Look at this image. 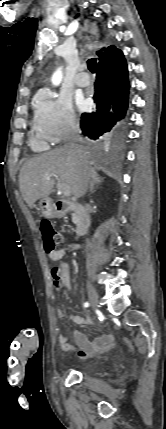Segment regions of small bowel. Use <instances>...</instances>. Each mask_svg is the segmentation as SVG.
Wrapping results in <instances>:
<instances>
[{"mask_svg":"<svg viewBox=\"0 0 166 429\" xmlns=\"http://www.w3.org/2000/svg\"><path fill=\"white\" fill-rule=\"evenodd\" d=\"M77 244H70L68 247L56 249L53 252L48 253L49 258L52 261H61L68 250L78 249ZM51 278L54 287L57 291H68L71 288V278H70V266L66 262H61L59 266L53 267L51 269ZM56 315L58 318L64 317V311L62 309H57ZM70 319L79 325H90L92 320L90 317H85L82 315H70ZM73 338L76 345L79 347L78 357L82 360L93 358L96 355L103 354L110 350L114 343V338L112 335L104 334L99 337L94 338L93 340L88 339V337L78 331H73ZM60 347L65 352H73V346L68 342L64 334L59 335Z\"/></svg>","mask_w":166,"mask_h":429,"instance_id":"small-bowel-1","label":"small bowel"}]
</instances>
